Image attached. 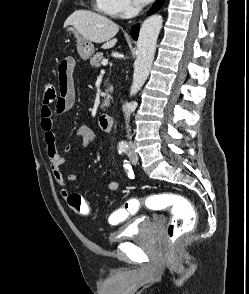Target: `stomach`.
Masks as SVG:
<instances>
[{"label":"stomach","instance_id":"stomach-1","mask_svg":"<svg viewBox=\"0 0 249 294\" xmlns=\"http://www.w3.org/2000/svg\"><path fill=\"white\" fill-rule=\"evenodd\" d=\"M67 31L75 34L77 38V51L80 57L83 60H88L94 53L93 43L79 36L73 27H68Z\"/></svg>","mask_w":249,"mask_h":294}]
</instances>
